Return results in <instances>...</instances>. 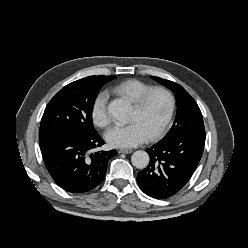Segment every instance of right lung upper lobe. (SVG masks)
I'll list each match as a JSON object with an SVG mask.
<instances>
[{
	"instance_id": "1",
	"label": "right lung upper lobe",
	"mask_w": 248,
	"mask_h": 248,
	"mask_svg": "<svg viewBox=\"0 0 248 248\" xmlns=\"http://www.w3.org/2000/svg\"><path fill=\"white\" fill-rule=\"evenodd\" d=\"M86 78L97 79V80H101V81H104V82L107 83L108 81L113 80L116 77L115 76H89V77H86Z\"/></svg>"
}]
</instances>
